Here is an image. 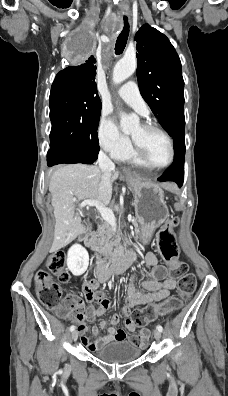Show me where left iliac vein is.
I'll return each mask as SVG.
<instances>
[{
  "label": "left iliac vein",
  "instance_id": "obj_1",
  "mask_svg": "<svg viewBox=\"0 0 228 396\" xmlns=\"http://www.w3.org/2000/svg\"><path fill=\"white\" fill-rule=\"evenodd\" d=\"M153 335L157 341L161 340V332L158 329L154 330Z\"/></svg>",
  "mask_w": 228,
  "mask_h": 396
}]
</instances>
